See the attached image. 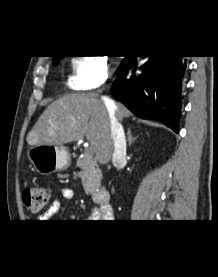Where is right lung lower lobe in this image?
I'll return each mask as SVG.
<instances>
[{
    "label": "right lung lower lobe",
    "mask_w": 218,
    "mask_h": 277,
    "mask_svg": "<svg viewBox=\"0 0 218 277\" xmlns=\"http://www.w3.org/2000/svg\"><path fill=\"white\" fill-rule=\"evenodd\" d=\"M143 57L149 59L140 66L142 74L129 79L126 75L130 67L136 69V58L127 57L122 61L112 94L136 116L161 121L178 132L186 60L177 55Z\"/></svg>",
    "instance_id": "98d812e1"
}]
</instances>
